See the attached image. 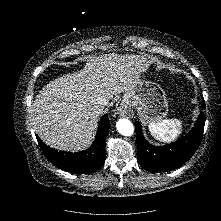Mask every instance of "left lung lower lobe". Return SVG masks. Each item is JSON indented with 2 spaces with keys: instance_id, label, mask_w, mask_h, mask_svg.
<instances>
[{
  "instance_id": "left-lung-lower-lobe-1",
  "label": "left lung lower lobe",
  "mask_w": 221,
  "mask_h": 221,
  "mask_svg": "<svg viewBox=\"0 0 221 221\" xmlns=\"http://www.w3.org/2000/svg\"><path fill=\"white\" fill-rule=\"evenodd\" d=\"M203 106L205 103L203 102ZM205 115L201 113L194 128L182 139L164 146H154L148 143L141 125L136 122V142L138 163L147 171L157 173L172 170L189 160L201 143Z\"/></svg>"
}]
</instances>
